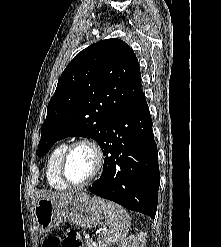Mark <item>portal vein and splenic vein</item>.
<instances>
[{"instance_id": "portal-vein-and-splenic-vein-1", "label": "portal vein and splenic vein", "mask_w": 221, "mask_h": 247, "mask_svg": "<svg viewBox=\"0 0 221 247\" xmlns=\"http://www.w3.org/2000/svg\"><path fill=\"white\" fill-rule=\"evenodd\" d=\"M86 237H87V238H90V236H89V235H87Z\"/></svg>"}]
</instances>
